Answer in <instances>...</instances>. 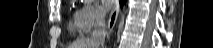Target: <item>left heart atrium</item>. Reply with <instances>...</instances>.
Instances as JSON below:
<instances>
[{
  "label": "left heart atrium",
  "mask_w": 213,
  "mask_h": 48,
  "mask_svg": "<svg viewBox=\"0 0 213 48\" xmlns=\"http://www.w3.org/2000/svg\"><path fill=\"white\" fill-rule=\"evenodd\" d=\"M114 5L113 0H102L100 4V8L103 12L109 11Z\"/></svg>",
  "instance_id": "39dd6f15"
}]
</instances>
